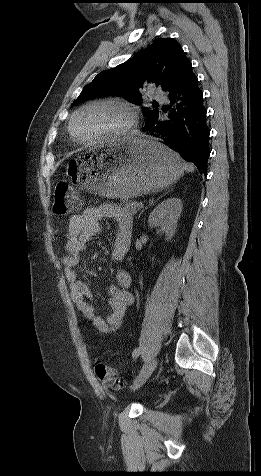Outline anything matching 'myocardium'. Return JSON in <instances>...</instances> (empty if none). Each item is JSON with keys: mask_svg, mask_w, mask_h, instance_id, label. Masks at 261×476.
<instances>
[{"mask_svg": "<svg viewBox=\"0 0 261 476\" xmlns=\"http://www.w3.org/2000/svg\"><path fill=\"white\" fill-rule=\"evenodd\" d=\"M98 105H111V106H115V107L120 108L127 115L126 122L121 127H119L118 129H115L113 131L102 134V135H100V136H98L94 139H91V140L78 139L76 137L75 131H74V123H75L76 118L83 111H85L89 108L98 106ZM137 119H138L137 112L131 104H129L125 101L119 100V99H115V98H100V99H95V100L89 101V102L80 106L77 110L74 111V113L72 114V116L70 118L69 124H68V131H69L70 136H71V138L74 142H76L80 145H92V144H96V143H99V142L107 140V139L116 138V137L126 135L127 133H129L135 127V125L137 124Z\"/></svg>", "mask_w": 261, "mask_h": 476, "instance_id": "1", "label": "myocardium"}]
</instances>
